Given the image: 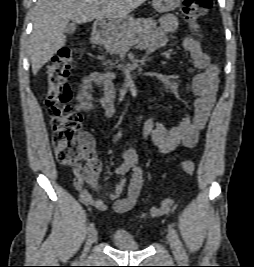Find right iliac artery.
I'll return each instance as SVG.
<instances>
[{
  "label": "right iliac artery",
  "mask_w": 254,
  "mask_h": 267,
  "mask_svg": "<svg viewBox=\"0 0 254 267\" xmlns=\"http://www.w3.org/2000/svg\"><path fill=\"white\" fill-rule=\"evenodd\" d=\"M94 228V223L89 224L88 226V232H90Z\"/></svg>",
  "instance_id": "right-iliac-artery-1"
}]
</instances>
